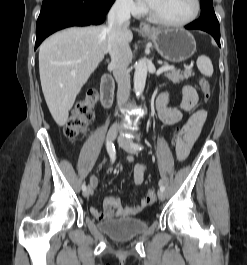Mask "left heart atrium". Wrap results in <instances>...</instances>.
Returning a JSON list of instances; mask_svg holds the SVG:
<instances>
[{
  "instance_id": "obj_1",
  "label": "left heart atrium",
  "mask_w": 247,
  "mask_h": 265,
  "mask_svg": "<svg viewBox=\"0 0 247 265\" xmlns=\"http://www.w3.org/2000/svg\"><path fill=\"white\" fill-rule=\"evenodd\" d=\"M145 3L149 4L151 3L152 0H143Z\"/></svg>"
}]
</instances>
